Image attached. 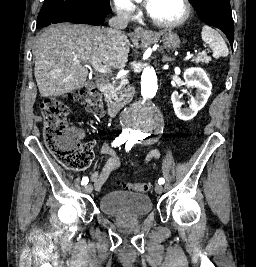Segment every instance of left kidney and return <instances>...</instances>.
I'll use <instances>...</instances> for the list:
<instances>
[{
	"instance_id": "left-kidney-1",
	"label": "left kidney",
	"mask_w": 256,
	"mask_h": 267,
	"mask_svg": "<svg viewBox=\"0 0 256 267\" xmlns=\"http://www.w3.org/2000/svg\"><path fill=\"white\" fill-rule=\"evenodd\" d=\"M186 88H196L195 98H191L189 110H182L181 96L179 92H173L171 96L174 112L179 120H192L198 110L204 108L212 90V84L202 68H188L183 76Z\"/></svg>"
}]
</instances>
